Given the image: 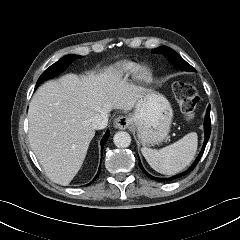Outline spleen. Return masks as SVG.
Segmentation results:
<instances>
[{"instance_id":"3e777b00","label":"spleen","mask_w":240,"mask_h":240,"mask_svg":"<svg viewBox=\"0 0 240 240\" xmlns=\"http://www.w3.org/2000/svg\"><path fill=\"white\" fill-rule=\"evenodd\" d=\"M197 151V134L191 132L160 150L143 147L141 152L148 164L157 172L174 175L186 168Z\"/></svg>"}]
</instances>
